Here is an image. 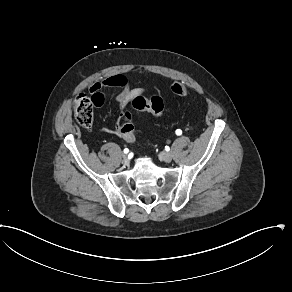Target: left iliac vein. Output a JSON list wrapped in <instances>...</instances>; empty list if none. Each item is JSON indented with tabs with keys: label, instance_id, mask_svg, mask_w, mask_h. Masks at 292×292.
<instances>
[{
	"label": "left iliac vein",
	"instance_id": "1",
	"mask_svg": "<svg viewBox=\"0 0 292 292\" xmlns=\"http://www.w3.org/2000/svg\"><path fill=\"white\" fill-rule=\"evenodd\" d=\"M160 158L161 160H163L164 162H171L172 161V154L169 152H161L160 153Z\"/></svg>",
	"mask_w": 292,
	"mask_h": 292
}]
</instances>
